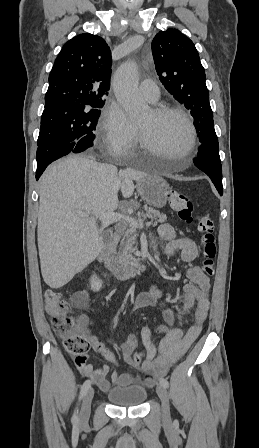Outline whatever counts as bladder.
Masks as SVG:
<instances>
[{
  "instance_id": "1",
  "label": "bladder",
  "mask_w": 259,
  "mask_h": 448,
  "mask_svg": "<svg viewBox=\"0 0 259 448\" xmlns=\"http://www.w3.org/2000/svg\"><path fill=\"white\" fill-rule=\"evenodd\" d=\"M107 398L112 404L117 406H139L146 400L147 390L140 385L116 387L108 391Z\"/></svg>"
}]
</instances>
